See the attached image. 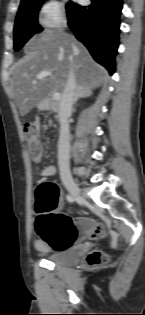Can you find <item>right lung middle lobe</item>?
Masks as SVG:
<instances>
[{
  "label": "right lung middle lobe",
  "mask_w": 145,
  "mask_h": 315,
  "mask_svg": "<svg viewBox=\"0 0 145 315\" xmlns=\"http://www.w3.org/2000/svg\"><path fill=\"white\" fill-rule=\"evenodd\" d=\"M44 0H32L19 7L14 26V49L18 51L36 33L42 31L38 24V11ZM67 4L66 8L69 6Z\"/></svg>",
  "instance_id": "1"
}]
</instances>
